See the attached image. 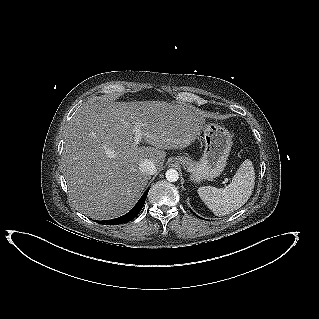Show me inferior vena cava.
<instances>
[{
    "label": "inferior vena cava",
    "mask_w": 319,
    "mask_h": 319,
    "mask_svg": "<svg viewBox=\"0 0 319 319\" xmlns=\"http://www.w3.org/2000/svg\"><path fill=\"white\" fill-rule=\"evenodd\" d=\"M139 169L145 175H153L157 171L155 164L149 159H144L139 164Z\"/></svg>",
    "instance_id": "obj_1"
}]
</instances>
